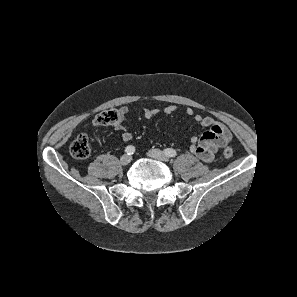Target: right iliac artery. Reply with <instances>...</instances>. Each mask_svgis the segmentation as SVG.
Wrapping results in <instances>:
<instances>
[{
	"mask_svg": "<svg viewBox=\"0 0 297 297\" xmlns=\"http://www.w3.org/2000/svg\"><path fill=\"white\" fill-rule=\"evenodd\" d=\"M125 152L127 155H132L135 152V147L132 145H129L125 148Z\"/></svg>",
	"mask_w": 297,
	"mask_h": 297,
	"instance_id": "right-iliac-artery-1",
	"label": "right iliac artery"
}]
</instances>
